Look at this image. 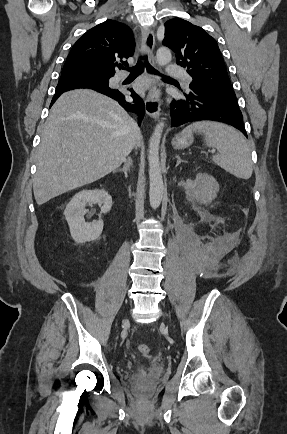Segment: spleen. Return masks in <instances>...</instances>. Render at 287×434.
<instances>
[{"label":"spleen","instance_id":"obj_1","mask_svg":"<svg viewBox=\"0 0 287 434\" xmlns=\"http://www.w3.org/2000/svg\"><path fill=\"white\" fill-rule=\"evenodd\" d=\"M198 132L208 147L218 150L212 161L240 179H249L253 163L246 140L234 128L215 121H199L187 126L182 133Z\"/></svg>","mask_w":287,"mask_h":434}]
</instances>
